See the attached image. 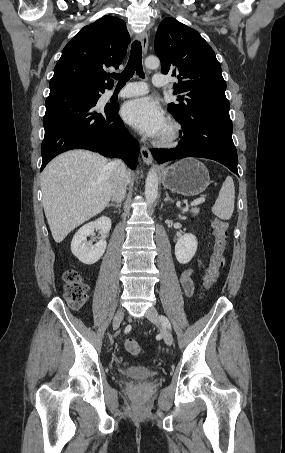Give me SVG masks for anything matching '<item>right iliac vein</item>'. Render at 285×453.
<instances>
[{"instance_id":"right-iliac-vein-1","label":"right iliac vein","mask_w":285,"mask_h":453,"mask_svg":"<svg viewBox=\"0 0 285 453\" xmlns=\"http://www.w3.org/2000/svg\"><path fill=\"white\" fill-rule=\"evenodd\" d=\"M123 317H124V311L122 308H119L113 319V328L114 329H117L120 326V324L123 320Z\"/></svg>"}]
</instances>
